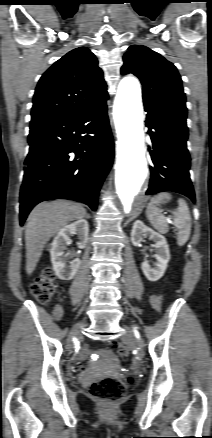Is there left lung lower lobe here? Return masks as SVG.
<instances>
[{"label":"left lung lower lobe","mask_w":212,"mask_h":438,"mask_svg":"<svg viewBox=\"0 0 212 438\" xmlns=\"http://www.w3.org/2000/svg\"><path fill=\"white\" fill-rule=\"evenodd\" d=\"M146 126L152 143L151 179L146 194L174 191L195 202L190 180L186 117L145 106Z\"/></svg>","instance_id":"1"}]
</instances>
